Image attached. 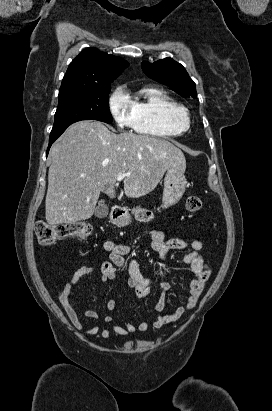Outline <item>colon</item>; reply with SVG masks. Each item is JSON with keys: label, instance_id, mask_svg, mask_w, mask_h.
<instances>
[{"label": "colon", "instance_id": "obj_1", "mask_svg": "<svg viewBox=\"0 0 272 411\" xmlns=\"http://www.w3.org/2000/svg\"><path fill=\"white\" fill-rule=\"evenodd\" d=\"M185 207L188 212H197L202 207V201L198 196H189L186 199ZM90 232L91 227L82 221L61 224L38 221L35 229L36 239L43 246H49L70 237L85 239L90 235Z\"/></svg>", "mask_w": 272, "mask_h": 411}]
</instances>
